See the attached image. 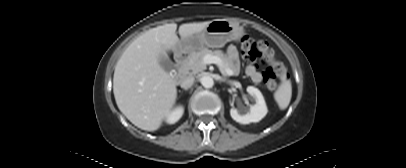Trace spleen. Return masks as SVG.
<instances>
[{
    "instance_id": "1",
    "label": "spleen",
    "mask_w": 406,
    "mask_h": 168,
    "mask_svg": "<svg viewBox=\"0 0 406 168\" xmlns=\"http://www.w3.org/2000/svg\"><path fill=\"white\" fill-rule=\"evenodd\" d=\"M291 97L292 85L290 80L286 79V77L284 76L281 84L274 93V99L277 102L279 108L281 110H285L291 101Z\"/></svg>"
}]
</instances>
